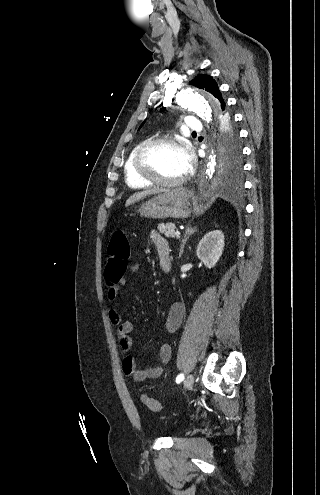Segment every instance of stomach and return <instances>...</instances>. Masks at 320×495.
I'll return each mask as SVG.
<instances>
[{
	"label": "stomach",
	"instance_id": "stomach-1",
	"mask_svg": "<svg viewBox=\"0 0 320 495\" xmlns=\"http://www.w3.org/2000/svg\"><path fill=\"white\" fill-rule=\"evenodd\" d=\"M138 213L154 219L186 218L191 214L190 195L183 188L165 191L144 203Z\"/></svg>",
	"mask_w": 320,
	"mask_h": 495
}]
</instances>
